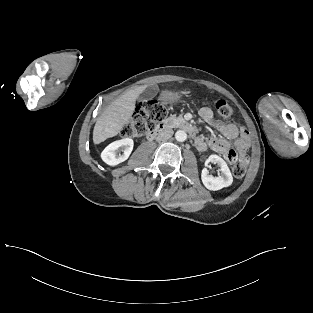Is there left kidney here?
<instances>
[{
	"instance_id": "5707ae66",
	"label": "left kidney",
	"mask_w": 313,
	"mask_h": 313,
	"mask_svg": "<svg viewBox=\"0 0 313 313\" xmlns=\"http://www.w3.org/2000/svg\"><path fill=\"white\" fill-rule=\"evenodd\" d=\"M209 162L216 163L220 167L221 173L219 176L214 177L213 175L209 174L206 168H204L201 173V180L204 186L212 191H217L224 187L230 186L233 182V177L230 169L227 166V163L218 155L209 156L205 164L207 165Z\"/></svg>"
}]
</instances>
